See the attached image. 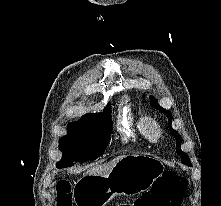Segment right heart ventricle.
Here are the masks:
<instances>
[{"mask_svg":"<svg viewBox=\"0 0 221 206\" xmlns=\"http://www.w3.org/2000/svg\"><path fill=\"white\" fill-rule=\"evenodd\" d=\"M142 118L128 103L124 102L121 104L118 113L117 128L124 141L135 142L146 140L141 127Z\"/></svg>","mask_w":221,"mask_h":206,"instance_id":"e07e8e85","label":"right heart ventricle"}]
</instances>
